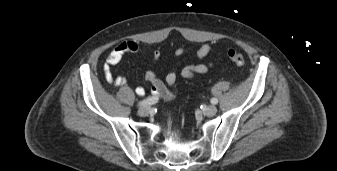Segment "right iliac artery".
Instances as JSON below:
<instances>
[{
  "mask_svg": "<svg viewBox=\"0 0 337 171\" xmlns=\"http://www.w3.org/2000/svg\"><path fill=\"white\" fill-rule=\"evenodd\" d=\"M158 101L157 97H149L147 99H144L143 101H140L138 103V107H145V106H149V105H153Z\"/></svg>",
  "mask_w": 337,
  "mask_h": 171,
  "instance_id": "obj_1",
  "label": "right iliac artery"
}]
</instances>
